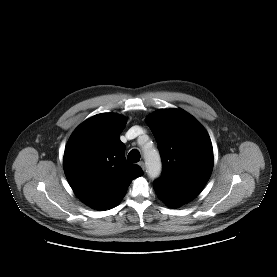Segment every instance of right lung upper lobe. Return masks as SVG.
<instances>
[{
  "instance_id": "cb5924a9",
  "label": "right lung upper lobe",
  "mask_w": 277,
  "mask_h": 277,
  "mask_svg": "<svg viewBox=\"0 0 277 277\" xmlns=\"http://www.w3.org/2000/svg\"><path fill=\"white\" fill-rule=\"evenodd\" d=\"M125 117L101 113L72 133L65 148L64 171L77 197L97 210L112 208L125 195L141 168L126 161L119 136Z\"/></svg>"
}]
</instances>
